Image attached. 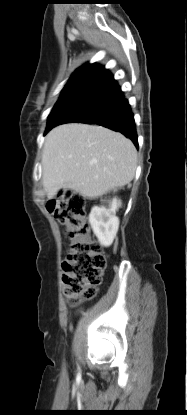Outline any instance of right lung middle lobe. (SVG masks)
Wrapping results in <instances>:
<instances>
[{
    "label": "right lung middle lobe",
    "mask_w": 187,
    "mask_h": 415,
    "mask_svg": "<svg viewBox=\"0 0 187 415\" xmlns=\"http://www.w3.org/2000/svg\"><path fill=\"white\" fill-rule=\"evenodd\" d=\"M67 100V97H65V98H63L61 101H59V102H57V104L55 105V107L53 108V110L56 108V106L58 105V104H63V103H65V101ZM52 110V111H53ZM51 114V113H50ZM47 126H48V124H47ZM47 129V128H46Z\"/></svg>",
    "instance_id": "1"
}]
</instances>
